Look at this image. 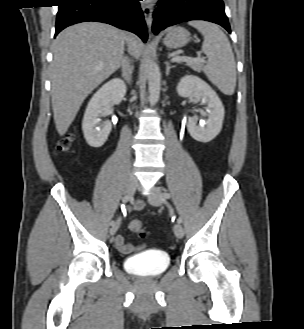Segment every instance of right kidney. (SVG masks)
<instances>
[{"label":"right kidney","mask_w":304,"mask_h":329,"mask_svg":"<svg viewBox=\"0 0 304 329\" xmlns=\"http://www.w3.org/2000/svg\"><path fill=\"white\" fill-rule=\"evenodd\" d=\"M126 93L125 83L120 79H112L90 99L82 121V130L86 142L91 147H101L107 140L111 131V123H100L101 116L109 112L110 104H119Z\"/></svg>","instance_id":"1"}]
</instances>
